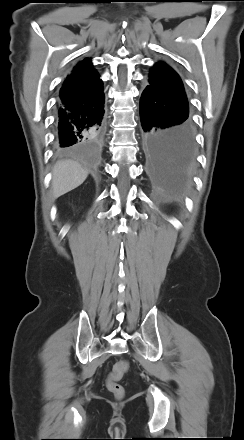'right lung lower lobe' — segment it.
<instances>
[{"label":"right lung lower lobe","instance_id":"98d812e1","mask_svg":"<svg viewBox=\"0 0 244 440\" xmlns=\"http://www.w3.org/2000/svg\"><path fill=\"white\" fill-rule=\"evenodd\" d=\"M104 95L71 105L58 104L57 147L69 150L99 138L104 128Z\"/></svg>","mask_w":244,"mask_h":440}]
</instances>
